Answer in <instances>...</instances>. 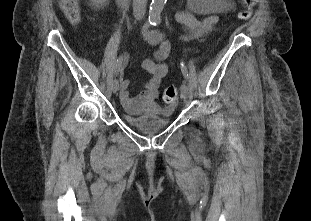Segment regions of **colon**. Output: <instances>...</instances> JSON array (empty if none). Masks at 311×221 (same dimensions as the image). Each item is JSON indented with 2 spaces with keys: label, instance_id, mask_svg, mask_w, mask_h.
I'll return each mask as SVG.
<instances>
[{
  "label": "colon",
  "instance_id": "5ec220e1",
  "mask_svg": "<svg viewBox=\"0 0 311 221\" xmlns=\"http://www.w3.org/2000/svg\"><path fill=\"white\" fill-rule=\"evenodd\" d=\"M59 6L63 14L68 21L76 26L81 21V8L79 0H58ZM246 8L241 11L238 16L243 22H247L251 19L253 9L250 6L252 3H256V0H244ZM178 98V90L175 86H167L163 92V102L166 105H173Z\"/></svg>",
  "mask_w": 311,
  "mask_h": 221
}]
</instances>
